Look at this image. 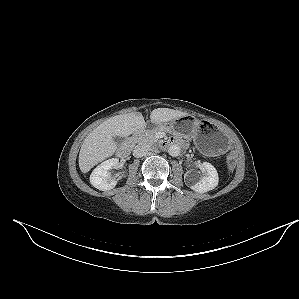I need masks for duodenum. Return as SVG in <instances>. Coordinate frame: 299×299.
<instances>
[{
  "mask_svg": "<svg viewBox=\"0 0 299 299\" xmlns=\"http://www.w3.org/2000/svg\"><path fill=\"white\" fill-rule=\"evenodd\" d=\"M183 140L179 139V138H171L169 140H165L161 142V146L163 147H168L171 146L173 144H183ZM132 149V142L131 141H126L125 143H123L119 149H118V156L120 158H126L129 156L130 152Z\"/></svg>",
  "mask_w": 299,
  "mask_h": 299,
  "instance_id": "duodenum-1",
  "label": "duodenum"
}]
</instances>
